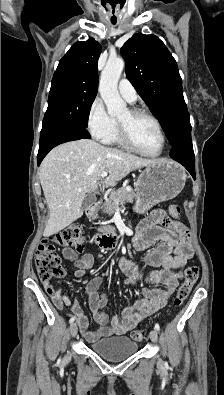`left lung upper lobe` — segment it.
Returning <instances> with one entry per match:
<instances>
[{
	"label": "left lung upper lobe",
	"mask_w": 224,
	"mask_h": 395,
	"mask_svg": "<svg viewBox=\"0 0 224 395\" xmlns=\"http://www.w3.org/2000/svg\"><path fill=\"white\" fill-rule=\"evenodd\" d=\"M126 75L161 122L171 145L190 126L177 63L155 35L135 34L121 48Z\"/></svg>",
	"instance_id": "1"
}]
</instances>
